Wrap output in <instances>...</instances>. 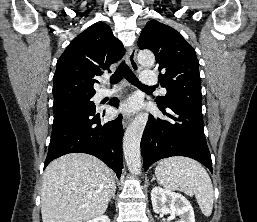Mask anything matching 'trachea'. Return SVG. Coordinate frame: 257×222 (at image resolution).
Listing matches in <instances>:
<instances>
[{
  "mask_svg": "<svg viewBox=\"0 0 257 222\" xmlns=\"http://www.w3.org/2000/svg\"><path fill=\"white\" fill-rule=\"evenodd\" d=\"M125 78L129 83H131L134 86H137L138 88H155L154 86H146L142 84L138 78L135 76V74L132 72V70L129 68V66L123 61L118 69L115 71V73L110 77L111 84H117L121 81L122 78Z\"/></svg>",
  "mask_w": 257,
  "mask_h": 222,
  "instance_id": "3493384b",
  "label": "trachea"
}]
</instances>
